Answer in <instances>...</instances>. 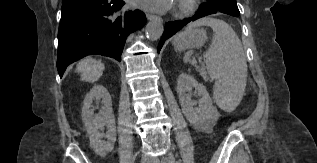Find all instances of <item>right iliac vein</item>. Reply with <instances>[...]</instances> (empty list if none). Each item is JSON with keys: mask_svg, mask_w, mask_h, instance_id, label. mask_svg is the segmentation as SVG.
<instances>
[{"mask_svg": "<svg viewBox=\"0 0 317 163\" xmlns=\"http://www.w3.org/2000/svg\"><path fill=\"white\" fill-rule=\"evenodd\" d=\"M141 163H150V161L148 159L144 158V159L141 160Z\"/></svg>", "mask_w": 317, "mask_h": 163, "instance_id": "obj_1", "label": "right iliac vein"}]
</instances>
